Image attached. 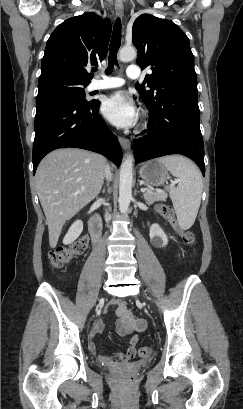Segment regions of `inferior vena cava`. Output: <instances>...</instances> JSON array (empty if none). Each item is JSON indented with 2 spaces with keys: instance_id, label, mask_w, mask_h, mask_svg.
Segmentation results:
<instances>
[{
  "instance_id": "obj_1",
  "label": "inferior vena cava",
  "mask_w": 243,
  "mask_h": 409,
  "mask_svg": "<svg viewBox=\"0 0 243 409\" xmlns=\"http://www.w3.org/2000/svg\"><path fill=\"white\" fill-rule=\"evenodd\" d=\"M105 177H106V179H107L108 181H110V180H111V177H112V174H111V171H110V167H109L108 165H106ZM105 220H106V222H109V220H110V218H109V216H108V213H106V215H105Z\"/></svg>"
}]
</instances>
